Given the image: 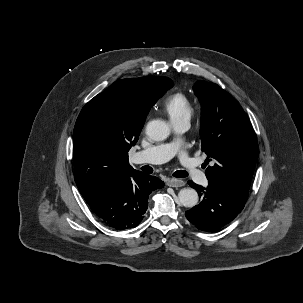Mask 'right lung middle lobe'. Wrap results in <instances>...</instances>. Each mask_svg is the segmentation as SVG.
I'll return each instance as SVG.
<instances>
[{
    "label": "right lung middle lobe",
    "mask_w": 303,
    "mask_h": 303,
    "mask_svg": "<svg viewBox=\"0 0 303 303\" xmlns=\"http://www.w3.org/2000/svg\"><path fill=\"white\" fill-rule=\"evenodd\" d=\"M79 181H80V179H79L78 175L75 174V182H76L77 186L79 185Z\"/></svg>",
    "instance_id": "right-lung-middle-lobe-1"
}]
</instances>
